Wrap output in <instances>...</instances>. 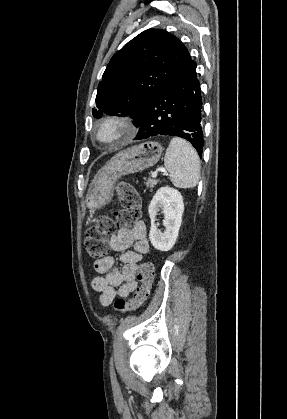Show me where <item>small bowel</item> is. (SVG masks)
<instances>
[{"instance_id": "c3829d8e", "label": "small bowel", "mask_w": 287, "mask_h": 419, "mask_svg": "<svg viewBox=\"0 0 287 419\" xmlns=\"http://www.w3.org/2000/svg\"><path fill=\"white\" fill-rule=\"evenodd\" d=\"M110 245L113 251L121 253L122 267H115L114 258L106 256L95 262L94 268L99 275L92 280V287L100 293V303L105 306L117 295L127 297L136 289L138 262L149 251L146 224L139 221L131 228L119 229L112 236Z\"/></svg>"}]
</instances>
